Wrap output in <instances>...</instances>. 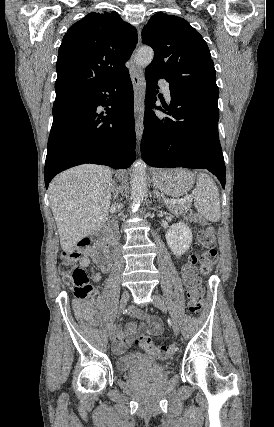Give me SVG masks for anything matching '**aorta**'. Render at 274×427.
<instances>
[{
	"mask_svg": "<svg viewBox=\"0 0 274 427\" xmlns=\"http://www.w3.org/2000/svg\"><path fill=\"white\" fill-rule=\"evenodd\" d=\"M154 52L148 46H142L136 54V63L142 68H146L153 60ZM132 209L136 211L143 200L146 190V164L143 161H137L133 165V176L130 182Z\"/></svg>",
	"mask_w": 274,
	"mask_h": 427,
	"instance_id": "762f6f07",
	"label": "aorta"
}]
</instances>
